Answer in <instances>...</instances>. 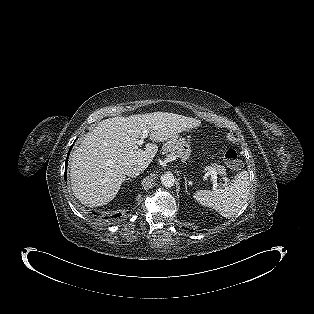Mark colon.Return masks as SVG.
<instances>
[{"instance_id": "obj_1", "label": "colon", "mask_w": 314, "mask_h": 314, "mask_svg": "<svg viewBox=\"0 0 314 314\" xmlns=\"http://www.w3.org/2000/svg\"><path fill=\"white\" fill-rule=\"evenodd\" d=\"M223 159L225 163L231 168V169H239L240 168V160L238 157V154L233 149H227L222 152Z\"/></svg>"}]
</instances>
